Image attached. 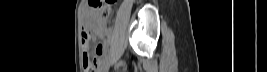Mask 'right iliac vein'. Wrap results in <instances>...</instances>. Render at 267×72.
<instances>
[{"label":"right iliac vein","mask_w":267,"mask_h":72,"mask_svg":"<svg viewBox=\"0 0 267 72\" xmlns=\"http://www.w3.org/2000/svg\"><path fill=\"white\" fill-rule=\"evenodd\" d=\"M109 69V62H107L106 64H104L100 70V72H107Z\"/></svg>","instance_id":"1"}]
</instances>
